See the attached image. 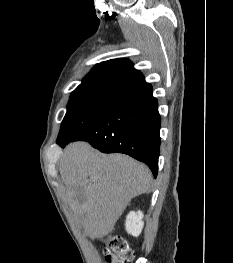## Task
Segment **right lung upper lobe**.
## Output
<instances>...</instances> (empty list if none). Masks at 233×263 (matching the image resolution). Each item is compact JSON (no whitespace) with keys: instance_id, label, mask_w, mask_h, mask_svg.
I'll use <instances>...</instances> for the list:
<instances>
[{"instance_id":"right-lung-upper-lobe-1","label":"right lung upper lobe","mask_w":233,"mask_h":263,"mask_svg":"<svg viewBox=\"0 0 233 263\" xmlns=\"http://www.w3.org/2000/svg\"><path fill=\"white\" fill-rule=\"evenodd\" d=\"M144 83H146L144 76L133 67L128 59H112L95 65L71 95L111 94L118 96Z\"/></svg>"}]
</instances>
